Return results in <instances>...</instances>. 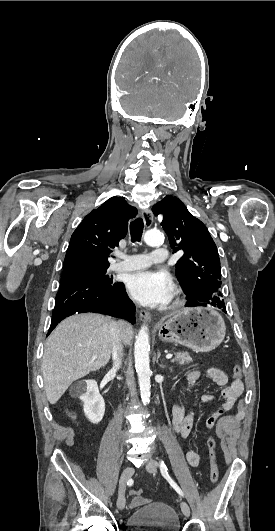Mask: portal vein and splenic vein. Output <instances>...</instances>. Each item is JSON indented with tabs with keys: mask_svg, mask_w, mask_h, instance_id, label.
Wrapping results in <instances>:
<instances>
[{
	"mask_svg": "<svg viewBox=\"0 0 275 531\" xmlns=\"http://www.w3.org/2000/svg\"><path fill=\"white\" fill-rule=\"evenodd\" d=\"M173 355H166V359H172ZM92 359H97V357H92Z\"/></svg>",
	"mask_w": 275,
	"mask_h": 531,
	"instance_id": "1",
	"label": "portal vein and splenic vein"
}]
</instances>
